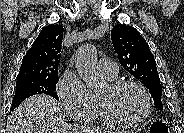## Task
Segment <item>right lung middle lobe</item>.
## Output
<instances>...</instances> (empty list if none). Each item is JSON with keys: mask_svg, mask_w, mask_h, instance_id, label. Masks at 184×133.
<instances>
[{"mask_svg": "<svg viewBox=\"0 0 184 133\" xmlns=\"http://www.w3.org/2000/svg\"><path fill=\"white\" fill-rule=\"evenodd\" d=\"M58 80V76L52 78L17 79L16 92L10 110H14L26 98L36 94L50 95L59 100L58 95L55 93Z\"/></svg>", "mask_w": 184, "mask_h": 133, "instance_id": "obj_1", "label": "right lung middle lobe"}]
</instances>
